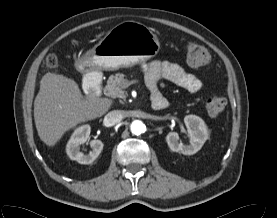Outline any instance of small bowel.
<instances>
[{
    "mask_svg": "<svg viewBox=\"0 0 277 218\" xmlns=\"http://www.w3.org/2000/svg\"><path fill=\"white\" fill-rule=\"evenodd\" d=\"M163 78L190 93H197L202 89L200 79L180 65L169 61L155 60L145 66V82L151 94L152 106L158 98H165L159 91L158 82ZM166 101V100H165Z\"/></svg>",
    "mask_w": 277,
    "mask_h": 218,
    "instance_id": "1",
    "label": "small bowel"
}]
</instances>
